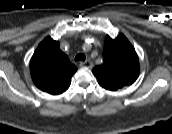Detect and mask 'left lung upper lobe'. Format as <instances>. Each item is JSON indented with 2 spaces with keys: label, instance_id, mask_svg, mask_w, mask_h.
I'll return each instance as SVG.
<instances>
[{
  "label": "left lung upper lobe",
  "instance_id": "obj_1",
  "mask_svg": "<svg viewBox=\"0 0 172 134\" xmlns=\"http://www.w3.org/2000/svg\"><path fill=\"white\" fill-rule=\"evenodd\" d=\"M140 71L139 59L128 39L120 34L112 39L108 35L103 50V64L92 72L100 86L107 90H117L133 84Z\"/></svg>",
  "mask_w": 172,
  "mask_h": 134
}]
</instances>
